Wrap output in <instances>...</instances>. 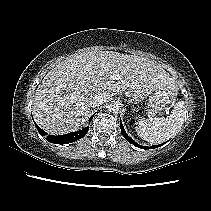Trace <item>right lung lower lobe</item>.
Segmentation results:
<instances>
[{"instance_id":"98d812e1","label":"right lung lower lobe","mask_w":211,"mask_h":211,"mask_svg":"<svg viewBox=\"0 0 211 211\" xmlns=\"http://www.w3.org/2000/svg\"><path fill=\"white\" fill-rule=\"evenodd\" d=\"M93 118V116L90 118ZM35 123V122H34ZM35 126L38 130V132L40 133L41 136H45L46 132H44L36 123ZM89 127H85L82 130H79L77 132H71L65 135H60V136H53V135H48L46 136V140L51 142V143H55V144H68V143H72L74 141H77L81 138H83L87 132H88Z\"/></svg>"}]
</instances>
